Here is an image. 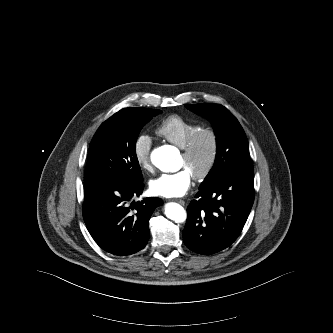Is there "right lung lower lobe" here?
<instances>
[{"instance_id":"1","label":"right lung lower lobe","mask_w":333,"mask_h":333,"mask_svg":"<svg viewBox=\"0 0 333 333\" xmlns=\"http://www.w3.org/2000/svg\"><path fill=\"white\" fill-rule=\"evenodd\" d=\"M143 188V182L85 179L83 218L91 236L105 251L125 256L147 244L149 219L163 201L144 198L129 205V200L139 196Z\"/></svg>"}]
</instances>
